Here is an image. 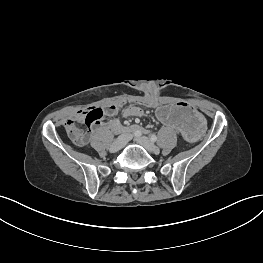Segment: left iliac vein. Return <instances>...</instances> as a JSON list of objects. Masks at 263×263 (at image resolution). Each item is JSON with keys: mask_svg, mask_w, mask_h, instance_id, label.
Returning <instances> with one entry per match:
<instances>
[{"mask_svg": "<svg viewBox=\"0 0 263 263\" xmlns=\"http://www.w3.org/2000/svg\"><path fill=\"white\" fill-rule=\"evenodd\" d=\"M135 141L140 145H142L149 152H153V153L159 152V148L153 143V141L145 136L135 137Z\"/></svg>", "mask_w": 263, "mask_h": 263, "instance_id": "left-iliac-vein-1", "label": "left iliac vein"}]
</instances>
